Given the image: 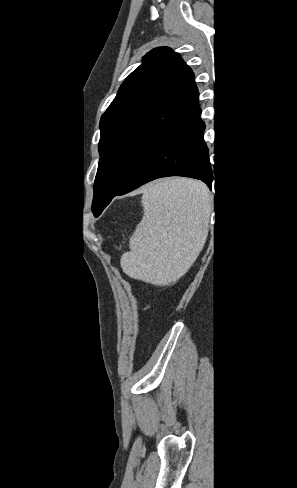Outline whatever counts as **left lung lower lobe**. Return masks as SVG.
I'll return each instance as SVG.
<instances>
[{
  "instance_id": "0a47b994",
  "label": "left lung lower lobe",
  "mask_w": 297,
  "mask_h": 488,
  "mask_svg": "<svg viewBox=\"0 0 297 488\" xmlns=\"http://www.w3.org/2000/svg\"><path fill=\"white\" fill-rule=\"evenodd\" d=\"M204 129V122L200 120L199 115L152 153L115 196L126 194L154 179L167 176L200 179L211 189L213 173L208 148L203 140Z\"/></svg>"
}]
</instances>
